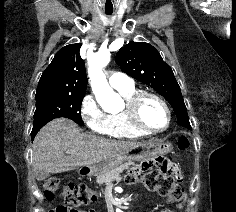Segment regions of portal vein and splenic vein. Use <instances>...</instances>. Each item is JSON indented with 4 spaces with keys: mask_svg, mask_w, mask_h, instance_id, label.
I'll return each instance as SVG.
<instances>
[{
    "mask_svg": "<svg viewBox=\"0 0 236 212\" xmlns=\"http://www.w3.org/2000/svg\"><path fill=\"white\" fill-rule=\"evenodd\" d=\"M68 154H75L76 152L74 150L67 151Z\"/></svg>",
    "mask_w": 236,
    "mask_h": 212,
    "instance_id": "obj_1",
    "label": "portal vein and splenic vein"
}]
</instances>
